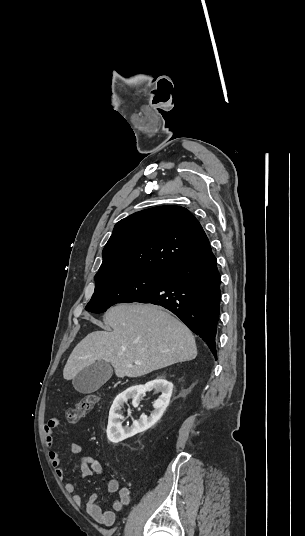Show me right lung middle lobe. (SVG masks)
Instances as JSON below:
<instances>
[{
  "mask_svg": "<svg viewBox=\"0 0 305 536\" xmlns=\"http://www.w3.org/2000/svg\"><path fill=\"white\" fill-rule=\"evenodd\" d=\"M168 273L131 272L120 277L95 280V292L85 309L101 313L117 303H131L146 296Z\"/></svg>",
  "mask_w": 305,
  "mask_h": 536,
  "instance_id": "obj_1",
  "label": "right lung middle lobe"
}]
</instances>
